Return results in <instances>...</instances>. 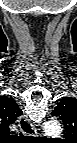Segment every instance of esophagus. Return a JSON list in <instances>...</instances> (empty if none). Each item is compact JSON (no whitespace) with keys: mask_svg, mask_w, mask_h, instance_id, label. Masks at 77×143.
Masks as SVG:
<instances>
[{"mask_svg":"<svg viewBox=\"0 0 77 143\" xmlns=\"http://www.w3.org/2000/svg\"><path fill=\"white\" fill-rule=\"evenodd\" d=\"M18 123L20 126L21 131L26 135H33L35 132L33 124L30 122V120L27 117H20L18 119Z\"/></svg>","mask_w":77,"mask_h":143,"instance_id":"1","label":"esophagus"}]
</instances>
